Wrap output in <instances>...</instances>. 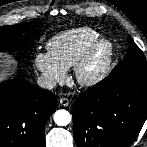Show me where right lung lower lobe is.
I'll return each instance as SVG.
<instances>
[{
	"instance_id": "right-lung-lower-lobe-1",
	"label": "right lung lower lobe",
	"mask_w": 147,
	"mask_h": 147,
	"mask_svg": "<svg viewBox=\"0 0 147 147\" xmlns=\"http://www.w3.org/2000/svg\"><path fill=\"white\" fill-rule=\"evenodd\" d=\"M56 110L51 91L16 77L0 84V147H43L45 124Z\"/></svg>"
}]
</instances>
